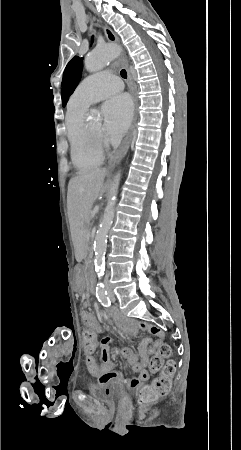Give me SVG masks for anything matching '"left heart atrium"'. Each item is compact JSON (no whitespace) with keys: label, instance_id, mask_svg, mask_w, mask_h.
<instances>
[{"label":"left heart atrium","instance_id":"obj_1","mask_svg":"<svg viewBox=\"0 0 241 450\" xmlns=\"http://www.w3.org/2000/svg\"><path fill=\"white\" fill-rule=\"evenodd\" d=\"M108 114L107 127L110 133L120 137L128 129L133 118V103L127 94H120L105 104Z\"/></svg>","mask_w":241,"mask_h":450}]
</instances>
